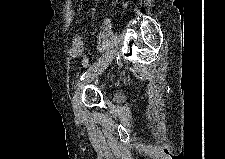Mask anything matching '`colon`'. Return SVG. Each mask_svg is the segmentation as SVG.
<instances>
[{
	"label": "colon",
	"mask_w": 225,
	"mask_h": 159,
	"mask_svg": "<svg viewBox=\"0 0 225 159\" xmlns=\"http://www.w3.org/2000/svg\"><path fill=\"white\" fill-rule=\"evenodd\" d=\"M82 63H83V66H84L85 68H89V67H91V65H92V59L90 58V56L85 55V56L83 57Z\"/></svg>",
	"instance_id": "obj_1"
}]
</instances>
